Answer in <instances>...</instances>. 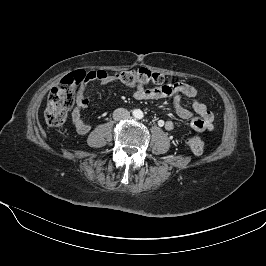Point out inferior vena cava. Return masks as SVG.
Returning <instances> with one entry per match:
<instances>
[{"label": "inferior vena cava", "mask_w": 266, "mask_h": 266, "mask_svg": "<svg viewBox=\"0 0 266 266\" xmlns=\"http://www.w3.org/2000/svg\"><path fill=\"white\" fill-rule=\"evenodd\" d=\"M130 118V113L125 108H118L113 112V119L116 121L127 120Z\"/></svg>", "instance_id": "inferior-vena-cava-1"}]
</instances>
